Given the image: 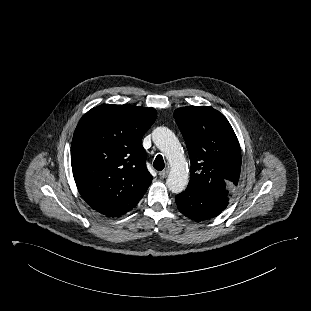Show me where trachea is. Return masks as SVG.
Segmentation results:
<instances>
[{
  "mask_svg": "<svg viewBox=\"0 0 311 311\" xmlns=\"http://www.w3.org/2000/svg\"><path fill=\"white\" fill-rule=\"evenodd\" d=\"M153 167L158 171H161L164 169L165 163H164L162 155L156 156L154 163H153Z\"/></svg>",
  "mask_w": 311,
  "mask_h": 311,
  "instance_id": "1",
  "label": "trachea"
}]
</instances>
